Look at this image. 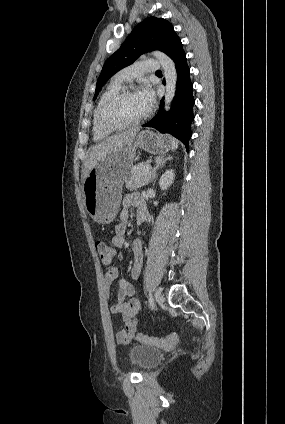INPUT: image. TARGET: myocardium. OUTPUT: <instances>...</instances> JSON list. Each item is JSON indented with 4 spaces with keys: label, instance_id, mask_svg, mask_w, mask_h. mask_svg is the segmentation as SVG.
Returning <instances> with one entry per match:
<instances>
[{
    "label": "myocardium",
    "instance_id": "1",
    "mask_svg": "<svg viewBox=\"0 0 285 424\" xmlns=\"http://www.w3.org/2000/svg\"><path fill=\"white\" fill-rule=\"evenodd\" d=\"M136 91L133 88H123L112 95L102 106L99 116L98 123L102 129L105 130H122L131 127H135L145 121L148 118L149 112H146L143 116L131 122H116L109 120V111L124 97L134 94Z\"/></svg>",
    "mask_w": 285,
    "mask_h": 424
}]
</instances>
